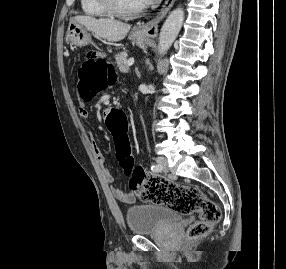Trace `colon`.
<instances>
[{
	"instance_id": "colon-1",
	"label": "colon",
	"mask_w": 286,
	"mask_h": 269,
	"mask_svg": "<svg viewBox=\"0 0 286 269\" xmlns=\"http://www.w3.org/2000/svg\"><path fill=\"white\" fill-rule=\"evenodd\" d=\"M101 49L96 54H89L78 69V88L84 98L90 99L99 91L110 85L115 74L109 63L101 60ZM129 111L121 106L110 108L106 126L113 141V155H117L119 164L130 177V189L141 199L163 204L172 210L188 215L199 213V221L188 230L190 240L207 235L212 226L220 220L218 205L210 200L199 188L176 184L164 177L154 176L142 169V163H134V142L129 132Z\"/></svg>"
}]
</instances>
